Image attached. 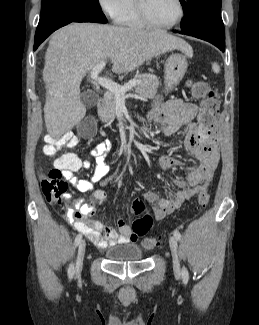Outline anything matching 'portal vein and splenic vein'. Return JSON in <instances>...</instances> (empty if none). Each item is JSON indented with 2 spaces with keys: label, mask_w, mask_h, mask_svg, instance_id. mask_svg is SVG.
Returning a JSON list of instances; mask_svg holds the SVG:
<instances>
[{
  "label": "portal vein and splenic vein",
  "mask_w": 259,
  "mask_h": 325,
  "mask_svg": "<svg viewBox=\"0 0 259 325\" xmlns=\"http://www.w3.org/2000/svg\"><path fill=\"white\" fill-rule=\"evenodd\" d=\"M106 61L99 62L92 70H91V78L92 80H95L99 85L106 88L107 90L113 92L117 99L124 100L127 96H125L126 91L131 89L132 87L139 85L141 83V80H132L129 81L126 85L121 86L117 84L116 82L104 78L99 77L100 71L105 67Z\"/></svg>",
  "instance_id": "obj_1"
}]
</instances>
